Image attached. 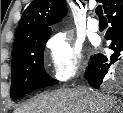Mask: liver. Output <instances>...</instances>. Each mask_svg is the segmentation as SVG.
Instances as JSON below:
<instances>
[{
	"label": "liver",
	"mask_w": 123,
	"mask_h": 113,
	"mask_svg": "<svg viewBox=\"0 0 123 113\" xmlns=\"http://www.w3.org/2000/svg\"><path fill=\"white\" fill-rule=\"evenodd\" d=\"M121 101L115 96L91 91L87 97L78 89H57L43 93L14 113H118Z\"/></svg>",
	"instance_id": "1"
}]
</instances>
